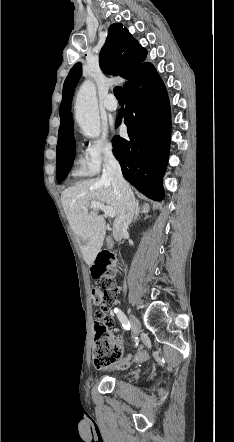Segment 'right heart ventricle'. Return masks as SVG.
Wrapping results in <instances>:
<instances>
[{"label": "right heart ventricle", "instance_id": "obj_1", "mask_svg": "<svg viewBox=\"0 0 234 442\" xmlns=\"http://www.w3.org/2000/svg\"><path fill=\"white\" fill-rule=\"evenodd\" d=\"M93 174L95 172L89 165L86 155L79 154L74 161L72 175L74 177H88Z\"/></svg>", "mask_w": 234, "mask_h": 442}]
</instances>
